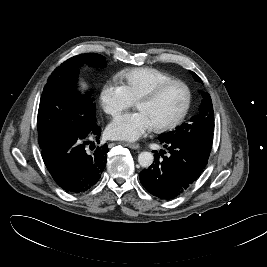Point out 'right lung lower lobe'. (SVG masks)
I'll return each mask as SVG.
<instances>
[{
	"mask_svg": "<svg viewBox=\"0 0 267 267\" xmlns=\"http://www.w3.org/2000/svg\"><path fill=\"white\" fill-rule=\"evenodd\" d=\"M100 133L101 128L95 124L84 132L65 133L42 149L48 171L65 191L84 192L99 181L106 165L108 146H95L91 140H98Z\"/></svg>",
	"mask_w": 267,
	"mask_h": 267,
	"instance_id": "obj_1",
	"label": "right lung lower lobe"
}]
</instances>
